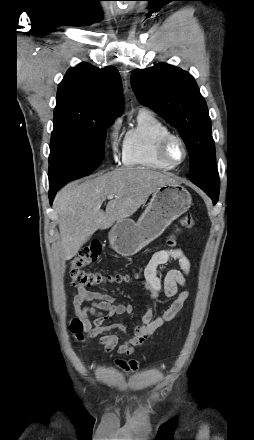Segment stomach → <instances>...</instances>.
<instances>
[{
	"label": "stomach",
	"mask_w": 254,
	"mask_h": 440,
	"mask_svg": "<svg viewBox=\"0 0 254 440\" xmlns=\"http://www.w3.org/2000/svg\"><path fill=\"white\" fill-rule=\"evenodd\" d=\"M190 193L179 184L159 186L137 222L125 218L109 232V242L122 256L139 252L191 206Z\"/></svg>",
	"instance_id": "obj_1"
}]
</instances>
